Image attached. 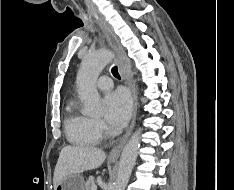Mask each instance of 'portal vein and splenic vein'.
I'll list each match as a JSON object with an SVG mask.
<instances>
[{"label": "portal vein and splenic vein", "mask_w": 234, "mask_h": 190, "mask_svg": "<svg viewBox=\"0 0 234 190\" xmlns=\"http://www.w3.org/2000/svg\"><path fill=\"white\" fill-rule=\"evenodd\" d=\"M91 190H97V186H96V185H93V186L91 187Z\"/></svg>", "instance_id": "18ae733b"}]
</instances>
